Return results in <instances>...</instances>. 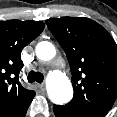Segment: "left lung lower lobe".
Segmentation results:
<instances>
[{
    "label": "left lung lower lobe",
    "mask_w": 117,
    "mask_h": 117,
    "mask_svg": "<svg viewBox=\"0 0 117 117\" xmlns=\"http://www.w3.org/2000/svg\"><path fill=\"white\" fill-rule=\"evenodd\" d=\"M53 108L56 117H104L105 115L95 112H89L68 105L65 106L54 105Z\"/></svg>",
    "instance_id": "0a47b994"
}]
</instances>
